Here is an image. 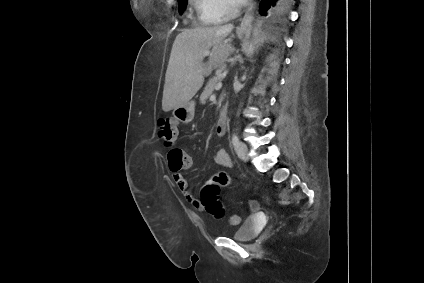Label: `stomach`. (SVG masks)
<instances>
[{
  "label": "stomach",
  "mask_w": 424,
  "mask_h": 283,
  "mask_svg": "<svg viewBox=\"0 0 424 283\" xmlns=\"http://www.w3.org/2000/svg\"><path fill=\"white\" fill-rule=\"evenodd\" d=\"M239 35H244L245 31L238 32ZM195 104L194 102H188L182 106L174 109L173 116L179 122L184 124L190 123L194 118Z\"/></svg>",
  "instance_id": "stomach-1"
}]
</instances>
